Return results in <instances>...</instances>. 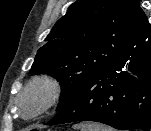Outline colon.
<instances>
[{
    "label": "colon",
    "mask_w": 151,
    "mask_h": 131,
    "mask_svg": "<svg viewBox=\"0 0 151 131\" xmlns=\"http://www.w3.org/2000/svg\"><path fill=\"white\" fill-rule=\"evenodd\" d=\"M26 131H41L39 128H28Z\"/></svg>",
    "instance_id": "obj_1"
}]
</instances>
